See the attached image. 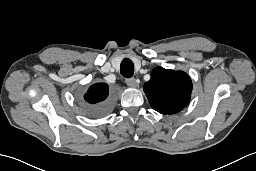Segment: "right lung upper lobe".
I'll use <instances>...</instances> for the list:
<instances>
[{"label":"right lung upper lobe","mask_w":256,"mask_h":171,"mask_svg":"<svg viewBox=\"0 0 256 171\" xmlns=\"http://www.w3.org/2000/svg\"><path fill=\"white\" fill-rule=\"evenodd\" d=\"M109 94V87L105 83H96L92 85L84 95L87 106H93L106 101Z\"/></svg>","instance_id":"cb5924a9"}]
</instances>
